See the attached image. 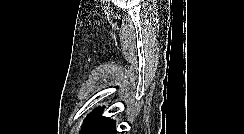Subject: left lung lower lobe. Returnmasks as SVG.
I'll list each match as a JSON object with an SVG mask.
<instances>
[{
    "label": "left lung lower lobe",
    "mask_w": 244,
    "mask_h": 134,
    "mask_svg": "<svg viewBox=\"0 0 244 134\" xmlns=\"http://www.w3.org/2000/svg\"><path fill=\"white\" fill-rule=\"evenodd\" d=\"M93 134H116L115 122L111 119H108Z\"/></svg>",
    "instance_id": "obj_1"
}]
</instances>
